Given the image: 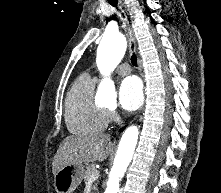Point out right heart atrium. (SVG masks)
Here are the masks:
<instances>
[{
	"label": "right heart atrium",
	"mask_w": 221,
	"mask_h": 193,
	"mask_svg": "<svg viewBox=\"0 0 221 193\" xmlns=\"http://www.w3.org/2000/svg\"><path fill=\"white\" fill-rule=\"evenodd\" d=\"M107 116H108V121H113L117 118V113L116 111L110 109L107 111Z\"/></svg>",
	"instance_id": "right-heart-atrium-1"
}]
</instances>
